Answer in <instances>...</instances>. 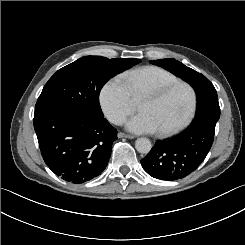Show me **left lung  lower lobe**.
I'll use <instances>...</instances> for the list:
<instances>
[{
  "mask_svg": "<svg viewBox=\"0 0 245 245\" xmlns=\"http://www.w3.org/2000/svg\"><path fill=\"white\" fill-rule=\"evenodd\" d=\"M197 112L194 121L182 133L157 141L141 160L144 170L153 178L174 181L193 171L208 154L220 117L217 92L211 82L196 90Z\"/></svg>",
  "mask_w": 245,
  "mask_h": 245,
  "instance_id": "0a47b994",
  "label": "left lung lower lobe"
}]
</instances>
